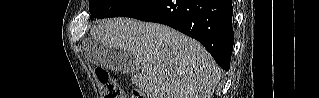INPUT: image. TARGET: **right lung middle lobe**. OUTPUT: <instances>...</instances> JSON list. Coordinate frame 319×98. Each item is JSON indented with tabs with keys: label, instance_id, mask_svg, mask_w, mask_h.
Returning <instances> with one entry per match:
<instances>
[{
	"label": "right lung middle lobe",
	"instance_id": "right-lung-middle-lobe-1",
	"mask_svg": "<svg viewBox=\"0 0 319 98\" xmlns=\"http://www.w3.org/2000/svg\"><path fill=\"white\" fill-rule=\"evenodd\" d=\"M145 1L146 0H90V19L117 17Z\"/></svg>",
	"mask_w": 319,
	"mask_h": 98
}]
</instances>
